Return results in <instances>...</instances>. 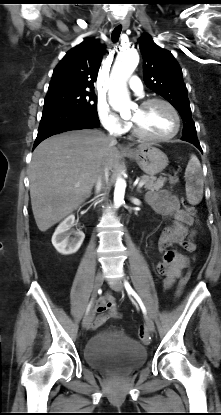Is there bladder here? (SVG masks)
Here are the masks:
<instances>
[{
    "label": "bladder",
    "instance_id": "bladder-1",
    "mask_svg": "<svg viewBox=\"0 0 221 415\" xmlns=\"http://www.w3.org/2000/svg\"><path fill=\"white\" fill-rule=\"evenodd\" d=\"M84 358L92 368L100 372L125 373L141 367L147 359V351L131 337L104 331L88 341Z\"/></svg>",
    "mask_w": 221,
    "mask_h": 415
}]
</instances>
